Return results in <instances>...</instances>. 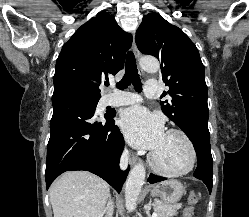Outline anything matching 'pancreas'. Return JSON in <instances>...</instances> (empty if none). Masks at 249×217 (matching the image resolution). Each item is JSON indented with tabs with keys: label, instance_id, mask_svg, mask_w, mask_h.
<instances>
[{
	"label": "pancreas",
	"instance_id": "obj_1",
	"mask_svg": "<svg viewBox=\"0 0 249 217\" xmlns=\"http://www.w3.org/2000/svg\"><path fill=\"white\" fill-rule=\"evenodd\" d=\"M181 207L182 204L168 205L160 200L153 203V208L157 212V217H172Z\"/></svg>",
	"mask_w": 249,
	"mask_h": 217
}]
</instances>
